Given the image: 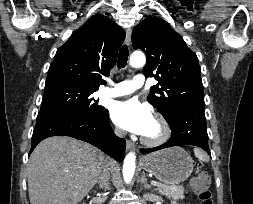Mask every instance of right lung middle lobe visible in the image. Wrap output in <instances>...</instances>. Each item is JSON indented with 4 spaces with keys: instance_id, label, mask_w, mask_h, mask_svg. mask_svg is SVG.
Wrapping results in <instances>:
<instances>
[{
    "instance_id": "right-lung-middle-lobe-1",
    "label": "right lung middle lobe",
    "mask_w": 253,
    "mask_h": 204,
    "mask_svg": "<svg viewBox=\"0 0 253 204\" xmlns=\"http://www.w3.org/2000/svg\"><path fill=\"white\" fill-rule=\"evenodd\" d=\"M95 91L73 83L45 84L40 111H68L99 117L105 108L92 97Z\"/></svg>"
}]
</instances>
